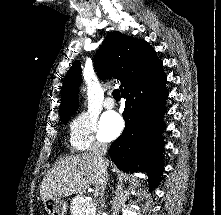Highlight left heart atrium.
<instances>
[{"instance_id": "obj_1", "label": "left heart atrium", "mask_w": 221, "mask_h": 215, "mask_svg": "<svg viewBox=\"0 0 221 215\" xmlns=\"http://www.w3.org/2000/svg\"><path fill=\"white\" fill-rule=\"evenodd\" d=\"M123 119L115 112L105 113L100 122L101 132L106 139L116 137L123 129Z\"/></svg>"}]
</instances>
